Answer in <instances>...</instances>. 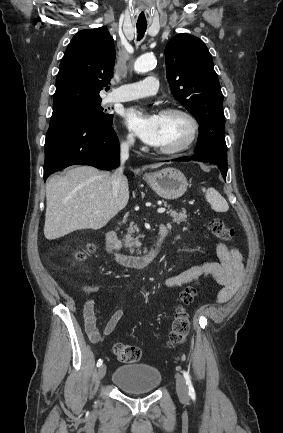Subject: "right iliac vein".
<instances>
[{
  "instance_id": "obj_1",
  "label": "right iliac vein",
  "mask_w": 283,
  "mask_h": 433,
  "mask_svg": "<svg viewBox=\"0 0 283 433\" xmlns=\"http://www.w3.org/2000/svg\"><path fill=\"white\" fill-rule=\"evenodd\" d=\"M105 374H106V366H105V364H102L98 369L99 379H103Z\"/></svg>"
}]
</instances>
